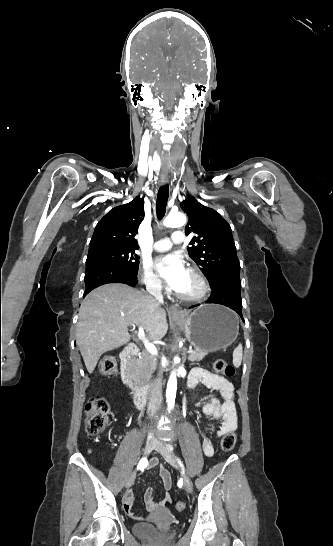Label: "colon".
I'll return each mask as SVG.
<instances>
[{"label": "colon", "mask_w": 333, "mask_h": 546, "mask_svg": "<svg viewBox=\"0 0 333 546\" xmlns=\"http://www.w3.org/2000/svg\"><path fill=\"white\" fill-rule=\"evenodd\" d=\"M214 370L217 374L223 376H233L234 367L223 359H217L213 363ZM98 372L102 375H115L118 371L117 360L112 355L104 356L98 364ZM85 429L90 435L98 434L106 429L110 420L111 412L108 403L101 398L90 400L85 408ZM237 442V436L234 431L227 432L221 440V449L224 452L231 451ZM175 508L182 511L185 508V503L178 501L175 503Z\"/></svg>", "instance_id": "colon-1"}]
</instances>
